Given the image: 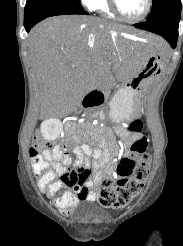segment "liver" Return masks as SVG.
Wrapping results in <instances>:
<instances>
[{"mask_svg": "<svg viewBox=\"0 0 183 246\" xmlns=\"http://www.w3.org/2000/svg\"><path fill=\"white\" fill-rule=\"evenodd\" d=\"M127 34L146 38L156 51L165 47L153 35L92 16L52 17L30 31L31 67L55 115L67 116L92 90L110 89L116 80L128 81L140 71L144 57L126 40Z\"/></svg>", "mask_w": 183, "mask_h": 246, "instance_id": "liver-1", "label": "liver"}]
</instances>
